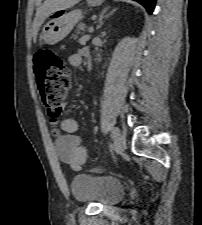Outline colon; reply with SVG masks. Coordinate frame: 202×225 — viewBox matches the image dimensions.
Segmentation results:
<instances>
[{"label":"colon","instance_id":"5ec220e1","mask_svg":"<svg viewBox=\"0 0 202 225\" xmlns=\"http://www.w3.org/2000/svg\"><path fill=\"white\" fill-rule=\"evenodd\" d=\"M41 102L51 124L62 113V102L70 89V72L62 58L51 50H42L34 58Z\"/></svg>","mask_w":202,"mask_h":225}]
</instances>
